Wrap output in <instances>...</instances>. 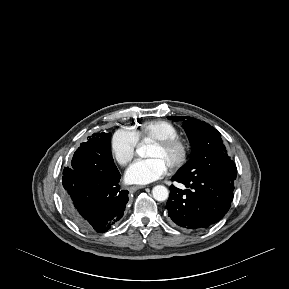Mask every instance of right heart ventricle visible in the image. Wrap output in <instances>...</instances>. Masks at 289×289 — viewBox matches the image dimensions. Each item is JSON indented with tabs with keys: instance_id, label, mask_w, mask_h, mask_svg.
Returning <instances> with one entry per match:
<instances>
[{
	"instance_id": "e07e8e85",
	"label": "right heart ventricle",
	"mask_w": 289,
	"mask_h": 289,
	"mask_svg": "<svg viewBox=\"0 0 289 289\" xmlns=\"http://www.w3.org/2000/svg\"><path fill=\"white\" fill-rule=\"evenodd\" d=\"M140 143L178 137L177 128L165 120H150L137 125L132 131Z\"/></svg>"
}]
</instances>
